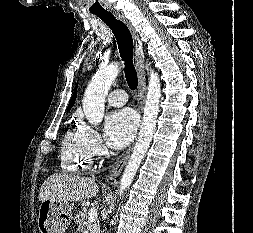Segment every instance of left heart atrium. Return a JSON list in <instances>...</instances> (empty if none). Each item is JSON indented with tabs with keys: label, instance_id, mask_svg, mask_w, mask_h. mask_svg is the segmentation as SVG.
Segmentation results:
<instances>
[{
	"label": "left heart atrium",
	"instance_id": "left-heart-atrium-1",
	"mask_svg": "<svg viewBox=\"0 0 253 233\" xmlns=\"http://www.w3.org/2000/svg\"><path fill=\"white\" fill-rule=\"evenodd\" d=\"M137 129V118L130 109L110 113L105 122L107 144L114 149L125 147L133 138Z\"/></svg>",
	"mask_w": 253,
	"mask_h": 233
}]
</instances>
